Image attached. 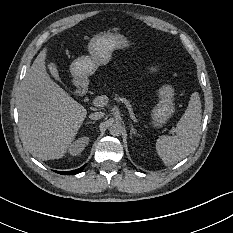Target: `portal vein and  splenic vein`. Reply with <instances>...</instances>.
<instances>
[{"label": "portal vein and splenic vein", "instance_id": "18ae733b", "mask_svg": "<svg viewBox=\"0 0 233 233\" xmlns=\"http://www.w3.org/2000/svg\"><path fill=\"white\" fill-rule=\"evenodd\" d=\"M109 98L106 95H100L92 101L95 107H104L108 104Z\"/></svg>", "mask_w": 233, "mask_h": 233}]
</instances>
